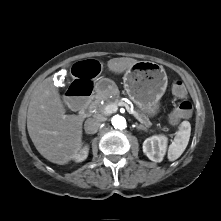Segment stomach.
<instances>
[{
  "instance_id": "0dacf381",
  "label": "stomach",
  "mask_w": 221,
  "mask_h": 221,
  "mask_svg": "<svg viewBox=\"0 0 221 221\" xmlns=\"http://www.w3.org/2000/svg\"><path fill=\"white\" fill-rule=\"evenodd\" d=\"M129 98L147 116H155L160 109L168 79L163 67L151 61H138L129 67L123 77Z\"/></svg>"
}]
</instances>
